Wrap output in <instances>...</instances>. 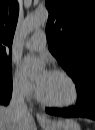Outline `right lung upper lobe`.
Wrapping results in <instances>:
<instances>
[{
	"instance_id": "1",
	"label": "right lung upper lobe",
	"mask_w": 95,
	"mask_h": 130,
	"mask_svg": "<svg viewBox=\"0 0 95 130\" xmlns=\"http://www.w3.org/2000/svg\"><path fill=\"white\" fill-rule=\"evenodd\" d=\"M18 12L17 0H0V57H6V49L11 51Z\"/></svg>"
}]
</instances>
